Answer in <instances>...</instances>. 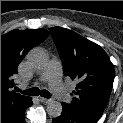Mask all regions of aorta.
<instances>
[{
	"label": "aorta",
	"instance_id": "762f6f07",
	"mask_svg": "<svg viewBox=\"0 0 123 123\" xmlns=\"http://www.w3.org/2000/svg\"><path fill=\"white\" fill-rule=\"evenodd\" d=\"M27 62L32 68L42 70L47 66L48 57L42 49L34 48L27 54ZM46 110L51 117H59L62 113V104L52 100L48 103Z\"/></svg>",
	"mask_w": 123,
	"mask_h": 123
}]
</instances>
